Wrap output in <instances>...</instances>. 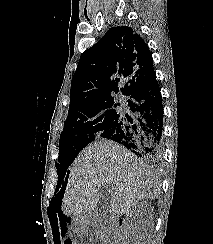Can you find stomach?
Here are the masks:
<instances>
[{"instance_id": "0dacf381", "label": "stomach", "mask_w": 213, "mask_h": 244, "mask_svg": "<svg viewBox=\"0 0 213 244\" xmlns=\"http://www.w3.org/2000/svg\"><path fill=\"white\" fill-rule=\"evenodd\" d=\"M75 224H76V226H75V228H74L75 231H82V229H83L82 226H83V224H84L83 221H76Z\"/></svg>"}]
</instances>
